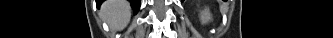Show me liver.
<instances>
[{"label":"liver","instance_id":"1","mask_svg":"<svg viewBox=\"0 0 333 38\" xmlns=\"http://www.w3.org/2000/svg\"><path fill=\"white\" fill-rule=\"evenodd\" d=\"M129 13V4L124 0H110L103 5V14L112 23L121 22L124 24L129 17Z\"/></svg>","mask_w":333,"mask_h":38}]
</instances>
